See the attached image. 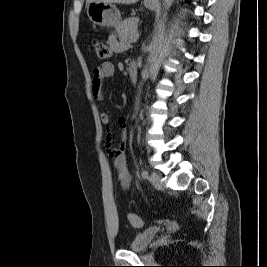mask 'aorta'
Segmentation results:
<instances>
[{"label":"aorta","instance_id":"aorta-1","mask_svg":"<svg viewBox=\"0 0 267 267\" xmlns=\"http://www.w3.org/2000/svg\"><path fill=\"white\" fill-rule=\"evenodd\" d=\"M173 1L174 0H163V10H164L163 18L167 15V11L171 7ZM163 31H164V24L160 23L158 26V30L156 34L153 36L152 42L150 44V54L147 58V64L143 68L141 73L143 79H146L148 77V74L151 71V64L159 52L163 38ZM139 103H140V88H139V97L136 98L135 102V110H138Z\"/></svg>","mask_w":267,"mask_h":267}]
</instances>
